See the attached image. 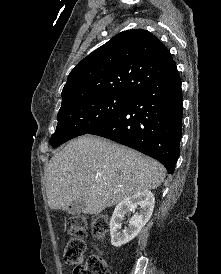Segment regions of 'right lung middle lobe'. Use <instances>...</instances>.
<instances>
[{"mask_svg":"<svg viewBox=\"0 0 221 274\" xmlns=\"http://www.w3.org/2000/svg\"><path fill=\"white\" fill-rule=\"evenodd\" d=\"M131 97L101 95L62 103L51 145L57 147L72 138L89 134L109 121Z\"/></svg>","mask_w":221,"mask_h":274,"instance_id":"obj_1","label":"right lung middle lobe"}]
</instances>
